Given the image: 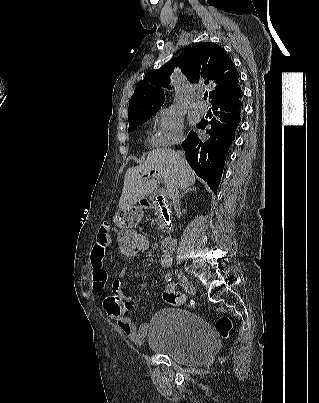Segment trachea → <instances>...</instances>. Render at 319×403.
<instances>
[{
	"label": "trachea",
	"instance_id": "3493384b",
	"mask_svg": "<svg viewBox=\"0 0 319 403\" xmlns=\"http://www.w3.org/2000/svg\"><path fill=\"white\" fill-rule=\"evenodd\" d=\"M207 98H208V94L205 93V94H204V99H207Z\"/></svg>",
	"mask_w": 319,
	"mask_h": 403
}]
</instances>
